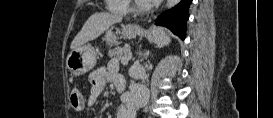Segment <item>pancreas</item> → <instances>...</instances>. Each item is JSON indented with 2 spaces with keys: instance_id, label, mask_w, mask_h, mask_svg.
Instances as JSON below:
<instances>
[{
  "instance_id": "cf45deb5",
  "label": "pancreas",
  "mask_w": 273,
  "mask_h": 118,
  "mask_svg": "<svg viewBox=\"0 0 273 118\" xmlns=\"http://www.w3.org/2000/svg\"><path fill=\"white\" fill-rule=\"evenodd\" d=\"M128 50L127 47H115L114 49H111L108 51V56L113 59H117L122 62V64L125 65V63L122 61V58L125 57L123 54Z\"/></svg>"
}]
</instances>
